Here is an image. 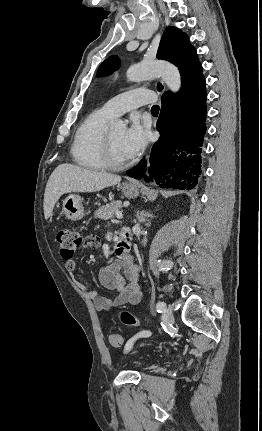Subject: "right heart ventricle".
Segmentation results:
<instances>
[{"label": "right heart ventricle", "mask_w": 262, "mask_h": 431, "mask_svg": "<svg viewBox=\"0 0 262 431\" xmlns=\"http://www.w3.org/2000/svg\"><path fill=\"white\" fill-rule=\"evenodd\" d=\"M114 117L104 107L88 114L76 130L71 147L75 162L86 169L101 170L106 167L103 157V140L107 123Z\"/></svg>", "instance_id": "obj_1"}]
</instances>
